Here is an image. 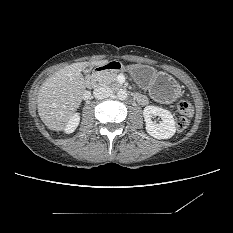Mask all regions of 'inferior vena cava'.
<instances>
[{
    "mask_svg": "<svg viewBox=\"0 0 233 233\" xmlns=\"http://www.w3.org/2000/svg\"><path fill=\"white\" fill-rule=\"evenodd\" d=\"M96 99H105L112 95V90L108 86H99L93 91Z\"/></svg>",
    "mask_w": 233,
    "mask_h": 233,
    "instance_id": "inferior-vena-cava-1",
    "label": "inferior vena cava"
}]
</instances>
